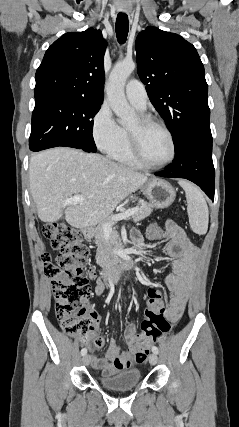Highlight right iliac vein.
I'll list each match as a JSON object with an SVG mask.
<instances>
[{"label":"right iliac vein","instance_id":"1","mask_svg":"<svg viewBox=\"0 0 239 427\" xmlns=\"http://www.w3.org/2000/svg\"><path fill=\"white\" fill-rule=\"evenodd\" d=\"M90 360H91V358H90L89 355H84L83 358H82V362H83L84 365H89Z\"/></svg>","mask_w":239,"mask_h":427}]
</instances>
